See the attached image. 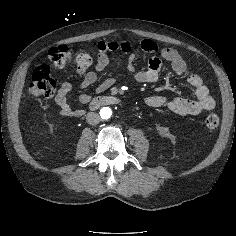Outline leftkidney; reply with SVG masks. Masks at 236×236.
<instances>
[{
	"instance_id": "5707ae66",
	"label": "left kidney",
	"mask_w": 236,
	"mask_h": 236,
	"mask_svg": "<svg viewBox=\"0 0 236 236\" xmlns=\"http://www.w3.org/2000/svg\"><path fill=\"white\" fill-rule=\"evenodd\" d=\"M163 130H164L165 132H168V128H164ZM166 136L169 137V136H170L169 133H166Z\"/></svg>"
}]
</instances>
